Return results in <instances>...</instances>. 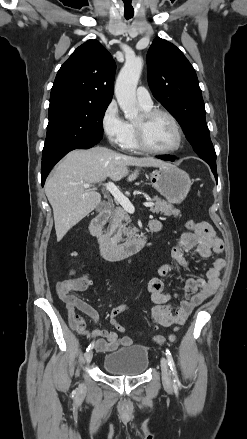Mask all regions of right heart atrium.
Segmentation results:
<instances>
[{
    "label": "right heart atrium",
    "instance_id": "right-heart-atrium-1",
    "mask_svg": "<svg viewBox=\"0 0 247 439\" xmlns=\"http://www.w3.org/2000/svg\"><path fill=\"white\" fill-rule=\"evenodd\" d=\"M100 124L107 141L115 147H122L127 137V122L122 118L115 101L104 109Z\"/></svg>",
    "mask_w": 247,
    "mask_h": 439
}]
</instances>
